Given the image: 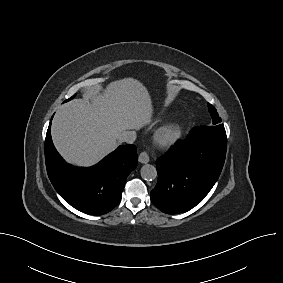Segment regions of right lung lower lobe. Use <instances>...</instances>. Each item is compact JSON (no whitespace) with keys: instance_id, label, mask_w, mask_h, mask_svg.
<instances>
[{"instance_id":"right-lung-lower-lobe-1","label":"right lung lower lobe","mask_w":283,"mask_h":283,"mask_svg":"<svg viewBox=\"0 0 283 283\" xmlns=\"http://www.w3.org/2000/svg\"><path fill=\"white\" fill-rule=\"evenodd\" d=\"M50 130L51 121L45 139V161L56 191L83 213L110 212L121 201L127 176L137 166L136 146L121 145L98 164L78 168L67 164L56 151Z\"/></svg>"}]
</instances>
